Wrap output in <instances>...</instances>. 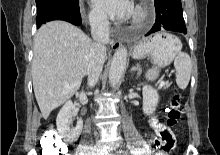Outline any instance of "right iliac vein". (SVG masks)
Segmentation results:
<instances>
[{"label":"right iliac vein","mask_w":220,"mask_h":155,"mask_svg":"<svg viewBox=\"0 0 220 155\" xmlns=\"http://www.w3.org/2000/svg\"><path fill=\"white\" fill-rule=\"evenodd\" d=\"M92 155H100L99 153L93 152Z\"/></svg>","instance_id":"right-iliac-vein-1"}]
</instances>
